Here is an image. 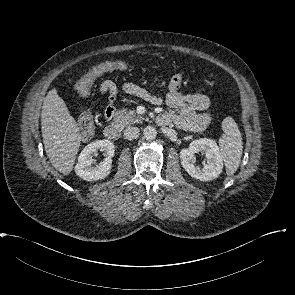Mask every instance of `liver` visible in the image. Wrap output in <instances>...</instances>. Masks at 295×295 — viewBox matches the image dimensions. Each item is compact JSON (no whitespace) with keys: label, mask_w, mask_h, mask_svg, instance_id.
Instances as JSON below:
<instances>
[{"label":"liver","mask_w":295,"mask_h":295,"mask_svg":"<svg viewBox=\"0 0 295 295\" xmlns=\"http://www.w3.org/2000/svg\"><path fill=\"white\" fill-rule=\"evenodd\" d=\"M41 130L51 164L63 175H68L74 166L82 136L75 119L55 88L44 99Z\"/></svg>","instance_id":"liver-1"}]
</instances>
